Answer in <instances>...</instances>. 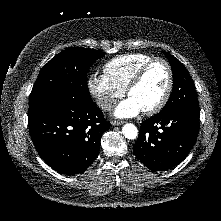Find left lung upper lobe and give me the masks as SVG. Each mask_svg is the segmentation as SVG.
Returning <instances> with one entry per match:
<instances>
[{
	"mask_svg": "<svg viewBox=\"0 0 221 221\" xmlns=\"http://www.w3.org/2000/svg\"><path fill=\"white\" fill-rule=\"evenodd\" d=\"M164 53L169 58L174 82L171 96L161 111L173 108H188L199 111L198 98L189 72L176 57Z\"/></svg>",
	"mask_w": 221,
	"mask_h": 221,
	"instance_id": "5c2ea615",
	"label": "left lung upper lobe"
}]
</instances>
